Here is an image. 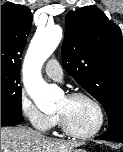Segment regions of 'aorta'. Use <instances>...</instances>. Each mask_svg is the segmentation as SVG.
Returning <instances> with one entry per match:
<instances>
[{"mask_svg":"<svg viewBox=\"0 0 123 152\" xmlns=\"http://www.w3.org/2000/svg\"><path fill=\"white\" fill-rule=\"evenodd\" d=\"M62 28L59 25L46 26L38 30L31 41L24 59V85L38 109L50 112L56 109L59 95L54 87L41 77V68L59 45Z\"/></svg>","mask_w":123,"mask_h":152,"instance_id":"aorta-1","label":"aorta"}]
</instances>
